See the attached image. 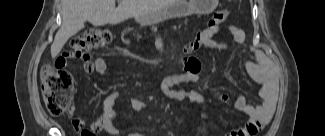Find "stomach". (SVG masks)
<instances>
[{"mask_svg": "<svg viewBox=\"0 0 325 136\" xmlns=\"http://www.w3.org/2000/svg\"><path fill=\"white\" fill-rule=\"evenodd\" d=\"M218 4V0H176L166 8L147 15L136 17V20L144 24H153L160 21L187 16L190 14H208L212 12Z\"/></svg>", "mask_w": 325, "mask_h": 136, "instance_id": "0dacf381", "label": "stomach"}]
</instances>
